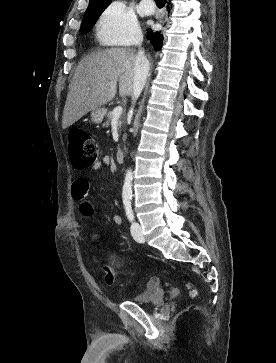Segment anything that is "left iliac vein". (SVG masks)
Returning <instances> with one entry per match:
<instances>
[{"label": "left iliac vein", "mask_w": 276, "mask_h": 363, "mask_svg": "<svg viewBox=\"0 0 276 363\" xmlns=\"http://www.w3.org/2000/svg\"><path fill=\"white\" fill-rule=\"evenodd\" d=\"M131 235L134 238L135 241L139 243L144 242V236L142 232V227L138 222H133L131 225Z\"/></svg>", "instance_id": "obj_1"}]
</instances>
